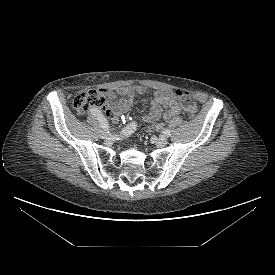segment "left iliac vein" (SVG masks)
<instances>
[{
    "label": "left iliac vein",
    "instance_id": "4c4485c4",
    "mask_svg": "<svg viewBox=\"0 0 275 275\" xmlns=\"http://www.w3.org/2000/svg\"><path fill=\"white\" fill-rule=\"evenodd\" d=\"M154 142L157 146L163 147L167 144V139L164 137H155Z\"/></svg>",
    "mask_w": 275,
    "mask_h": 275
}]
</instances>
